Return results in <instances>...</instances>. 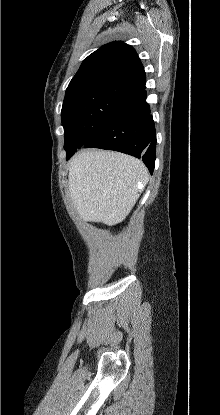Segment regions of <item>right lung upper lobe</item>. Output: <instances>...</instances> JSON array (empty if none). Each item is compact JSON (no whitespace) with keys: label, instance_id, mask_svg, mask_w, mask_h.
Segmentation results:
<instances>
[{"label":"right lung upper lobe","instance_id":"1","mask_svg":"<svg viewBox=\"0 0 220 415\" xmlns=\"http://www.w3.org/2000/svg\"><path fill=\"white\" fill-rule=\"evenodd\" d=\"M99 78H116L139 88L146 83L144 68L136 51L121 41L108 43L90 54L68 87Z\"/></svg>","mask_w":220,"mask_h":415}]
</instances>
